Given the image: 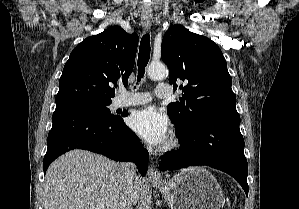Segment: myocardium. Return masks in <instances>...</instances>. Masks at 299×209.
<instances>
[{
    "instance_id": "myocardium-1",
    "label": "myocardium",
    "mask_w": 299,
    "mask_h": 209,
    "mask_svg": "<svg viewBox=\"0 0 299 209\" xmlns=\"http://www.w3.org/2000/svg\"><path fill=\"white\" fill-rule=\"evenodd\" d=\"M180 146V142L176 137H172L162 148L164 153H171L177 150Z\"/></svg>"
}]
</instances>
